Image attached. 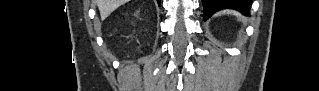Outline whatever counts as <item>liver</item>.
I'll list each match as a JSON object with an SVG mask.
<instances>
[{
    "label": "liver",
    "mask_w": 319,
    "mask_h": 91,
    "mask_svg": "<svg viewBox=\"0 0 319 91\" xmlns=\"http://www.w3.org/2000/svg\"><path fill=\"white\" fill-rule=\"evenodd\" d=\"M127 2L128 0H96L102 20L107 18L119 6Z\"/></svg>",
    "instance_id": "6515ba94"
}]
</instances>
